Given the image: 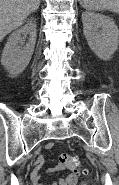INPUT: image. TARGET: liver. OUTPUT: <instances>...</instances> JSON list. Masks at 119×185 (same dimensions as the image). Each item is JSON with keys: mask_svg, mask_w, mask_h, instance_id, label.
Segmentation results:
<instances>
[{"mask_svg": "<svg viewBox=\"0 0 119 185\" xmlns=\"http://www.w3.org/2000/svg\"><path fill=\"white\" fill-rule=\"evenodd\" d=\"M41 0H0V42L37 11Z\"/></svg>", "mask_w": 119, "mask_h": 185, "instance_id": "6515ba94", "label": "liver"}]
</instances>
